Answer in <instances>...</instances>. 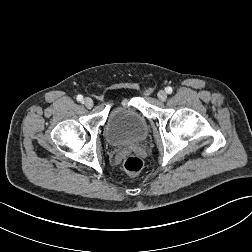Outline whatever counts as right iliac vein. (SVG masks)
<instances>
[{"label":"right iliac vein","instance_id":"1","mask_svg":"<svg viewBox=\"0 0 252 252\" xmlns=\"http://www.w3.org/2000/svg\"><path fill=\"white\" fill-rule=\"evenodd\" d=\"M83 103L87 108H91L93 106V100L89 97H86Z\"/></svg>","mask_w":252,"mask_h":252}]
</instances>
